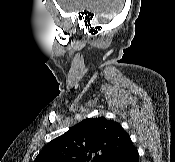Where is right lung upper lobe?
Segmentation results:
<instances>
[{"label": "right lung upper lobe", "instance_id": "1", "mask_svg": "<svg viewBox=\"0 0 175 162\" xmlns=\"http://www.w3.org/2000/svg\"><path fill=\"white\" fill-rule=\"evenodd\" d=\"M133 147L119 123L88 118L49 142L34 162H111Z\"/></svg>", "mask_w": 175, "mask_h": 162}]
</instances>
